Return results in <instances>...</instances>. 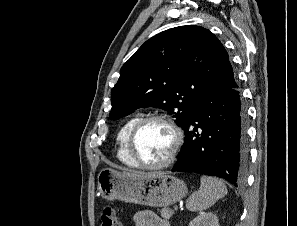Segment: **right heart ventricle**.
Returning <instances> with one entry per match:
<instances>
[{
    "instance_id": "obj_1",
    "label": "right heart ventricle",
    "mask_w": 297,
    "mask_h": 226,
    "mask_svg": "<svg viewBox=\"0 0 297 226\" xmlns=\"http://www.w3.org/2000/svg\"><path fill=\"white\" fill-rule=\"evenodd\" d=\"M141 118V114H136L128 118L120 127L116 141H117V157L120 162H122L124 165L129 167H137L135 162L130 157L128 150H127V139L129 132L135 122Z\"/></svg>"
}]
</instances>
